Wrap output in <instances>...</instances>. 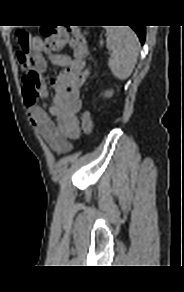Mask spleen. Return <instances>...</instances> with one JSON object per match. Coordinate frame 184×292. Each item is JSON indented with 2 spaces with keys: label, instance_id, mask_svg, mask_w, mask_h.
<instances>
[{
  "label": "spleen",
  "instance_id": "obj_1",
  "mask_svg": "<svg viewBox=\"0 0 184 292\" xmlns=\"http://www.w3.org/2000/svg\"><path fill=\"white\" fill-rule=\"evenodd\" d=\"M106 32V44L111 52L108 66L116 78L126 80L137 62L138 37L130 27H108Z\"/></svg>",
  "mask_w": 184,
  "mask_h": 292
}]
</instances>
